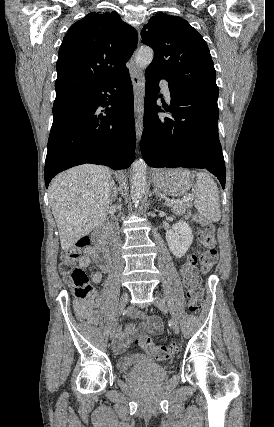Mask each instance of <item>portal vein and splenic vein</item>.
Segmentation results:
<instances>
[{
  "label": "portal vein and splenic vein",
  "instance_id": "portal-vein-and-splenic-vein-1",
  "mask_svg": "<svg viewBox=\"0 0 274 427\" xmlns=\"http://www.w3.org/2000/svg\"><path fill=\"white\" fill-rule=\"evenodd\" d=\"M187 200H192V198H187ZM184 200H176V202H171V204H183Z\"/></svg>",
  "mask_w": 274,
  "mask_h": 427
}]
</instances>
